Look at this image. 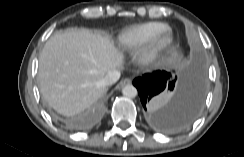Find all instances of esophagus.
Instances as JSON below:
<instances>
[{
	"mask_svg": "<svg viewBox=\"0 0 244 157\" xmlns=\"http://www.w3.org/2000/svg\"><path fill=\"white\" fill-rule=\"evenodd\" d=\"M131 83V79L129 78H125V79H122L116 86V89H121L123 88L124 86L128 85Z\"/></svg>",
	"mask_w": 244,
	"mask_h": 157,
	"instance_id": "34e87169",
	"label": "esophagus"
}]
</instances>
